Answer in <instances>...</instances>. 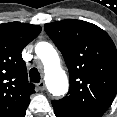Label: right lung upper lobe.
Wrapping results in <instances>:
<instances>
[{"label":"right lung upper lobe","instance_id":"1","mask_svg":"<svg viewBox=\"0 0 117 117\" xmlns=\"http://www.w3.org/2000/svg\"><path fill=\"white\" fill-rule=\"evenodd\" d=\"M40 32L39 25L0 24V117H24L26 114L35 85L28 82L21 52Z\"/></svg>","mask_w":117,"mask_h":117}]
</instances>
